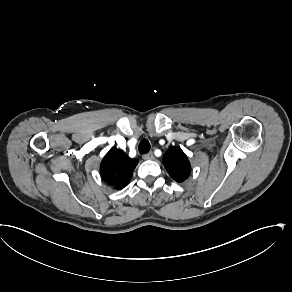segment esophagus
Returning a JSON list of instances; mask_svg holds the SVG:
<instances>
[{
  "label": "esophagus",
  "instance_id": "34e87169",
  "mask_svg": "<svg viewBox=\"0 0 292 292\" xmlns=\"http://www.w3.org/2000/svg\"><path fill=\"white\" fill-rule=\"evenodd\" d=\"M142 158H143L144 160H154V159H155V157H154V155H153L152 152H149V153L144 154V155L142 156Z\"/></svg>",
  "mask_w": 292,
  "mask_h": 292
}]
</instances>
